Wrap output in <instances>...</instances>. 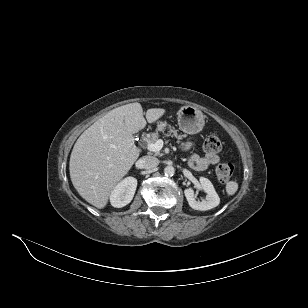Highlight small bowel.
<instances>
[{
  "instance_id": "c3829d8e",
  "label": "small bowel",
  "mask_w": 308,
  "mask_h": 308,
  "mask_svg": "<svg viewBox=\"0 0 308 308\" xmlns=\"http://www.w3.org/2000/svg\"><path fill=\"white\" fill-rule=\"evenodd\" d=\"M192 147L191 143L183 145V149L189 150ZM189 165L199 171L207 170L210 166L219 162V156L216 153H206L203 156L198 154H192L189 157Z\"/></svg>"
}]
</instances>
